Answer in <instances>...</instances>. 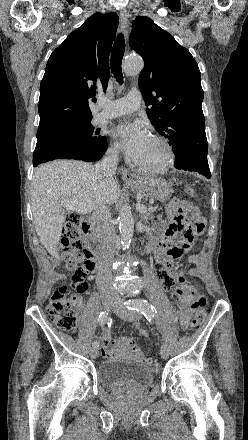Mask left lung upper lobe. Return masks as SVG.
Returning <instances> with one entry per match:
<instances>
[{"mask_svg": "<svg viewBox=\"0 0 248 440\" xmlns=\"http://www.w3.org/2000/svg\"><path fill=\"white\" fill-rule=\"evenodd\" d=\"M130 47L145 66L139 76L152 125L168 139L176 156L204 152L208 143L202 111L201 73L191 53L149 17L133 21Z\"/></svg>", "mask_w": 248, "mask_h": 440, "instance_id": "obj_1", "label": "left lung upper lobe"}]
</instances>
